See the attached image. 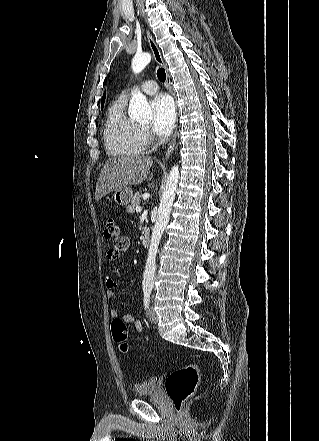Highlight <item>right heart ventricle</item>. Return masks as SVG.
I'll return each instance as SVG.
<instances>
[{
    "instance_id": "1",
    "label": "right heart ventricle",
    "mask_w": 319,
    "mask_h": 441,
    "mask_svg": "<svg viewBox=\"0 0 319 441\" xmlns=\"http://www.w3.org/2000/svg\"><path fill=\"white\" fill-rule=\"evenodd\" d=\"M125 98L116 99L109 107L103 129L106 151L111 156H137L144 151L139 125L127 116Z\"/></svg>"
}]
</instances>
